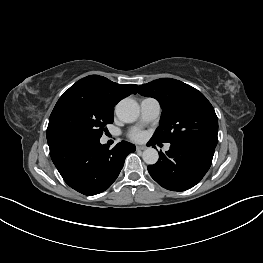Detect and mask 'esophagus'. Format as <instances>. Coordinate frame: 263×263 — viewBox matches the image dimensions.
<instances>
[{
  "label": "esophagus",
  "mask_w": 263,
  "mask_h": 263,
  "mask_svg": "<svg viewBox=\"0 0 263 263\" xmlns=\"http://www.w3.org/2000/svg\"><path fill=\"white\" fill-rule=\"evenodd\" d=\"M136 149L142 151L146 149V146H136Z\"/></svg>",
  "instance_id": "34e87169"
}]
</instances>
